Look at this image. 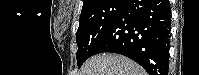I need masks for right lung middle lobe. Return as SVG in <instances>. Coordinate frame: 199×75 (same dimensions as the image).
<instances>
[{
    "instance_id": "1",
    "label": "right lung middle lobe",
    "mask_w": 199,
    "mask_h": 75,
    "mask_svg": "<svg viewBox=\"0 0 199 75\" xmlns=\"http://www.w3.org/2000/svg\"><path fill=\"white\" fill-rule=\"evenodd\" d=\"M127 0H104L82 9L76 33L78 68L93 56L95 47L121 14Z\"/></svg>"
}]
</instances>
